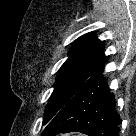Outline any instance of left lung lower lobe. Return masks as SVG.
<instances>
[{"mask_svg": "<svg viewBox=\"0 0 136 136\" xmlns=\"http://www.w3.org/2000/svg\"><path fill=\"white\" fill-rule=\"evenodd\" d=\"M113 98L114 95L108 93L101 67L52 118L42 135L77 131L89 136H118L120 119Z\"/></svg>", "mask_w": 136, "mask_h": 136, "instance_id": "0a47b994", "label": "left lung lower lobe"}]
</instances>
